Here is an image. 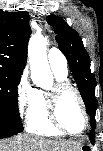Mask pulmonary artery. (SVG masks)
Returning <instances> with one entry per match:
<instances>
[{"instance_id":"1","label":"pulmonary artery","mask_w":103,"mask_h":151,"mask_svg":"<svg viewBox=\"0 0 103 151\" xmlns=\"http://www.w3.org/2000/svg\"><path fill=\"white\" fill-rule=\"evenodd\" d=\"M48 62L51 67L67 71V59L57 48H51L48 52Z\"/></svg>"}]
</instances>
